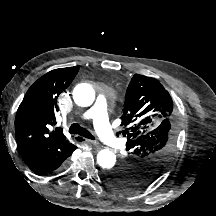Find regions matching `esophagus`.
I'll return each instance as SVG.
<instances>
[{
	"mask_svg": "<svg viewBox=\"0 0 216 216\" xmlns=\"http://www.w3.org/2000/svg\"><path fill=\"white\" fill-rule=\"evenodd\" d=\"M75 140H76V142H78V143H83V142H85V143H87V144H91V145H94V146L97 147V148H100V145H99L97 142H95V141H93V140H90V139H84V138L81 137V136H76V137H75Z\"/></svg>",
	"mask_w": 216,
	"mask_h": 216,
	"instance_id": "34e87169",
	"label": "esophagus"
}]
</instances>
